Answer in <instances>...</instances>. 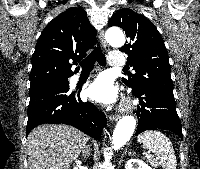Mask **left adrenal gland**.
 I'll list each match as a JSON object with an SVG mask.
<instances>
[{
	"label": "left adrenal gland",
	"instance_id": "a2214340",
	"mask_svg": "<svg viewBox=\"0 0 200 169\" xmlns=\"http://www.w3.org/2000/svg\"><path fill=\"white\" fill-rule=\"evenodd\" d=\"M134 153V151L133 150H130V152L128 153L129 155H131V154H133Z\"/></svg>",
	"mask_w": 200,
	"mask_h": 169
}]
</instances>
